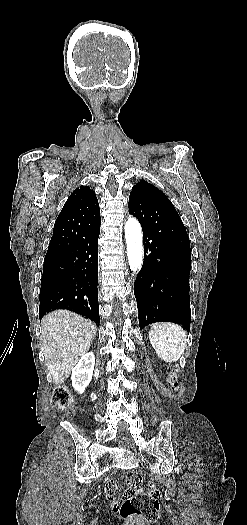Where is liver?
I'll return each instance as SVG.
<instances>
[{"instance_id":"obj_1","label":"liver","mask_w":247,"mask_h":525,"mask_svg":"<svg viewBox=\"0 0 247 525\" xmlns=\"http://www.w3.org/2000/svg\"><path fill=\"white\" fill-rule=\"evenodd\" d=\"M41 351L54 385L67 381L73 367L88 353L97 327L72 311H52L41 321Z\"/></svg>"}]
</instances>
